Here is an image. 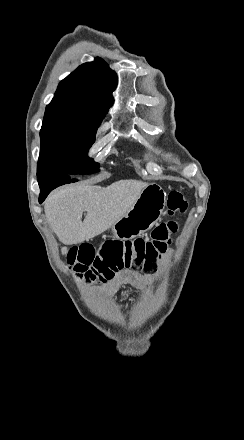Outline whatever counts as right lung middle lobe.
<instances>
[{
	"instance_id": "1",
	"label": "right lung middle lobe",
	"mask_w": 244,
	"mask_h": 440,
	"mask_svg": "<svg viewBox=\"0 0 244 440\" xmlns=\"http://www.w3.org/2000/svg\"><path fill=\"white\" fill-rule=\"evenodd\" d=\"M106 113L77 105L49 104L40 131L38 178L98 172L99 164L87 153Z\"/></svg>"
}]
</instances>
